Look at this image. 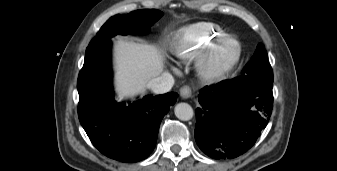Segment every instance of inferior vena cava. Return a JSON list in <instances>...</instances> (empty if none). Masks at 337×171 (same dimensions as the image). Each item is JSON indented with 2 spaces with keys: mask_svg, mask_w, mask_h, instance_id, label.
<instances>
[{
  "mask_svg": "<svg viewBox=\"0 0 337 171\" xmlns=\"http://www.w3.org/2000/svg\"><path fill=\"white\" fill-rule=\"evenodd\" d=\"M174 85V78L170 73H162L161 76L152 79L148 83L150 88L156 94H163L169 92Z\"/></svg>",
  "mask_w": 337,
  "mask_h": 171,
  "instance_id": "1",
  "label": "inferior vena cava"
}]
</instances>
